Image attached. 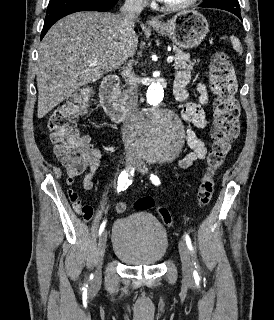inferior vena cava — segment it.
I'll return each instance as SVG.
<instances>
[{
  "label": "inferior vena cava",
  "mask_w": 274,
  "mask_h": 320,
  "mask_svg": "<svg viewBox=\"0 0 274 320\" xmlns=\"http://www.w3.org/2000/svg\"><path fill=\"white\" fill-rule=\"evenodd\" d=\"M145 0H125L124 6L120 8V18L117 26L121 36L128 40L131 36H136L134 32L135 22L144 10ZM128 86V112L126 122L123 128V142L128 140L126 134L128 128H132L135 120L138 118V78L132 72L131 68H126L123 72Z\"/></svg>",
  "instance_id": "obj_1"
}]
</instances>
